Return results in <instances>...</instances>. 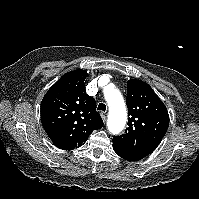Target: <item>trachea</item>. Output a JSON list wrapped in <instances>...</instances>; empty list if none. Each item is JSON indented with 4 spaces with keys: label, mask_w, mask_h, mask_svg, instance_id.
Instances as JSON below:
<instances>
[{
    "label": "trachea",
    "mask_w": 199,
    "mask_h": 199,
    "mask_svg": "<svg viewBox=\"0 0 199 199\" xmlns=\"http://www.w3.org/2000/svg\"><path fill=\"white\" fill-rule=\"evenodd\" d=\"M97 109L105 112L106 111V105L104 103H99Z\"/></svg>",
    "instance_id": "3493384b"
}]
</instances>
